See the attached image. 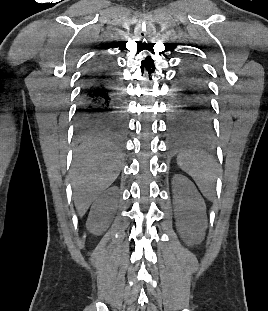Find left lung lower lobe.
Masks as SVG:
<instances>
[{"label": "left lung lower lobe", "mask_w": 268, "mask_h": 311, "mask_svg": "<svg viewBox=\"0 0 268 311\" xmlns=\"http://www.w3.org/2000/svg\"><path fill=\"white\" fill-rule=\"evenodd\" d=\"M168 121L169 141H214L208 86L194 61L184 62L176 75Z\"/></svg>", "instance_id": "0a47b994"}]
</instances>
